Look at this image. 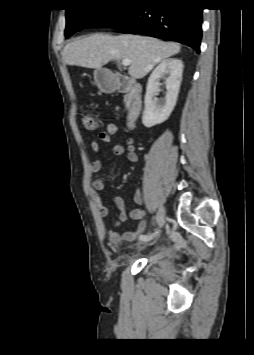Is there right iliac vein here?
<instances>
[{
  "label": "right iliac vein",
  "mask_w": 254,
  "mask_h": 355,
  "mask_svg": "<svg viewBox=\"0 0 254 355\" xmlns=\"http://www.w3.org/2000/svg\"><path fill=\"white\" fill-rule=\"evenodd\" d=\"M164 219H165V208L163 206H160L156 215V223L158 227H161L163 225ZM145 242L147 241H142L140 245H145Z\"/></svg>",
  "instance_id": "63e3f726"
}]
</instances>
